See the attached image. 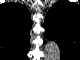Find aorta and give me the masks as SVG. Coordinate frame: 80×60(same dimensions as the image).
Masks as SVG:
<instances>
[{
  "label": "aorta",
  "instance_id": "762f6f07",
  "mask_svg": "<svg viewBox=\"0 0 80 60\" xmlns=\"http://www.w3.org/2000/svg\"><path fill=\"white\" fill-rule=\"evenodd\" d=\"M47 49L49 51H53L57 55V57L59 56V47L55 42L48 43L47 44Z\"/></svg>",
  "mask_w": 80,
  "mask_h": 60
}]
</instances>
